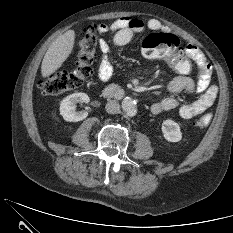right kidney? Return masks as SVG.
Listing matches in <instances>:
<instances>
[{
	"instance_id": "ca27d5eb",
	"label": "right kidney",
	"mask_w": 233,
	"mask_h": 233,
	"mask_svg": "<svg viewBox=\"0 0 233 233\" xmlns=\"http://www.w3.org/2000/svg\"><path fill=\"white\" fill-rule=\"evenodd\" d=\"M89 96L86 93H73L64 98L60 103V115L68 122H78L88 116L87 111H76V103L89 102Z\"/></svg>"
}]
</instances>
